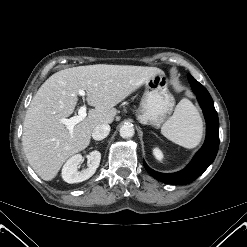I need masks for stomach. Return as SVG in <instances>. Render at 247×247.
Here are the masks:
<instances>
[{"instance_id":"0dacf381","label":"stomach","mask_w":247,"mask_h":247,"mask_svg":"<svg viewBox=\"0 0 247 247\" xmlns=\"http://www.w3.org/2000/svg\"><path fill=\"white\" fill-rule=\"evenodd\" d=\"M144 86L137 119L141 124L160 127L175 105L174 97L168 90V78L161 72L145 82Z\"/></svg>"}]
</instances>
